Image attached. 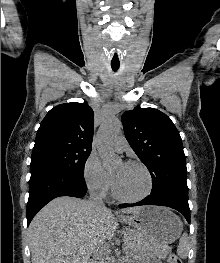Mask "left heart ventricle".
Wrapping results in <instances>:
<instances>
[{
    "label": "left heart ventricle",
    "mask_w": 220,
    "mask_h": 263,
    "mask_svg": "<svg viewBox=\"0 0 220 263\" xmlns=\"http://www.w3.org/2000/svg\"><path fill=\"white\" fill-rule=\"evenodd\" d=\"M111 173L118 192L125 197H137L147 190L148 178L139 166L120 162Z\"/></svg>",
    "instance_id": "obj_1"
}]
</instances>
